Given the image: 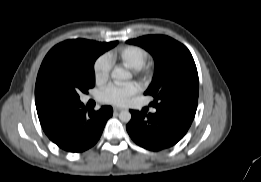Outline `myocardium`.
<instances>
[{
    "label": "myocardium",
    "mask_w": 261,
    "mask_h": 182,
    "mask_svg": "<svg viewBox=\"0 0 261 182\" xmlns=\"http://www.w3.org/2000/svg\"><path fill=\"white\" fill-rule=\"evenodd\" d=\"M133 73L137 77L146 80L151 74V69L148 65L143 64L142 66L133 69Z\"/></svg>",
    "instance_id": "myocardium-1"
}]
</instances>
